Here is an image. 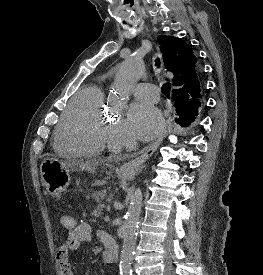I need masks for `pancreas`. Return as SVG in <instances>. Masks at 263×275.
<instances>
[{
	"label": "pancreas",
	"mask_w": 263,
	"mask_h": 275,
	"mask_svg": "<svg viewBox=\"0 0 263 275\" xmlns=\"http://www.w3.org/2000/svg\"><path fill=\"white\" fill-rule=\"evenodd\" d=\"M93 197L95 199V201L98 203L96 209L94 210V212L92 213V215L95 217V218H98L99 216H101L103 214V208H104V205L102 204V200L104 199L105 197V193L104 192H94L93 193Z\"/></svg>",
	"instance_id": "obj_1"
}]
</instances>
